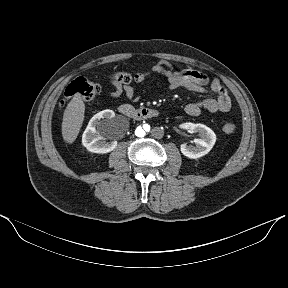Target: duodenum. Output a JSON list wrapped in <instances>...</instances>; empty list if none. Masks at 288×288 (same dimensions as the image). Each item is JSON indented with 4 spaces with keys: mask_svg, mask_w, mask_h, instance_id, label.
<instances>
[{
    "mask_svg": "<svg viewBox=\"0 0 288 288\" xmlns=\"http://www.w3.org/2000/svg\"><path fill=\"white\" fill-rule=\"evenodd\" d=\"M119 112L133 120H147L158 117L159 111L155 108H134L129 104H124L119 108Z\"/></svg>",
    "mask_w": 288,
    "mask_h": 288,
    "instance_id": "obj_1",
    "label": "duodenum"
}]
</instances>
